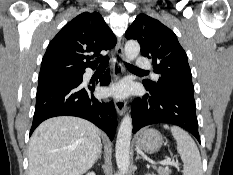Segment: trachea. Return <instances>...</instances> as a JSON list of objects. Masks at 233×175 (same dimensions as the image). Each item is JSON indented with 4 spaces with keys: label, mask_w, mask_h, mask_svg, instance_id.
Here are the masks:
<instances>
[{
    "label": "trachea",
    "mask_w": 233,
    "mask_h": 175,
    "mask_svg": "<svg viewBox=\"0 0 233 175\" xmlns=\"http://www.w3.org/2000/svg\"><path fill=\"white\" fill-rule=\"evenodd\" d=\"M99 61L101 62L100 63V67H106L108 65V61H109V58L108 57H105V58H100ZM125 65L127 66L128 69H132V70H136V71H141V72H145L147 73V71H144V70H141L131 64H128V63H125Z\"/></svg>",
    "instance_id": "3493384b"
}]
</instances>
